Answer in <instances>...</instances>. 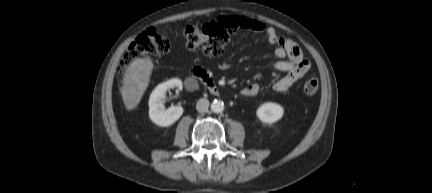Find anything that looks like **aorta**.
<instances>
[{
    "label": "aorta",
    "instance_id": "1",
    "mask_svg": "<svg viewBox=\"0 0 432 193\" xmlns=\"http://www.w3.org/2000/svg\"><path fill=\"white\" fill-rule=\"evenodd\" d=\"M211 110L214 113H221L224 110V103L220 100H214L211 104Z\"/></svg>",
    "mask_w": 432,
    "mask_h": 193
}]
</instances>
